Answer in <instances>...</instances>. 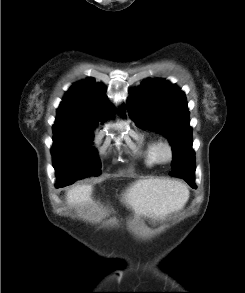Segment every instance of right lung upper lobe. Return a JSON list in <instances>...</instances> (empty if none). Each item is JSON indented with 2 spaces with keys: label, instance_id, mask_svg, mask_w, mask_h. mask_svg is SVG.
Here are the masks:
<instances>
[{
  "label": "right lung upper lobe",
  "instance_id": "cb5924a9",
  "mask_svg": "<svg viewBox=\"0 0 245 293\" xmlns=\"http://www.w3.org/2000/svg\"><path fill=\"white\" fill-rule=\"evenodd\" d=\"M105 88L93 79L74 84L57 109L55 124L77 125L94 129L111 111L103 96ZM125 111H123V114Z\"/></svg>",
  "mask_w": 245,
  "mask_h": 293
}]
</instances>
